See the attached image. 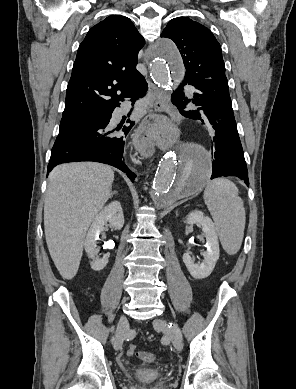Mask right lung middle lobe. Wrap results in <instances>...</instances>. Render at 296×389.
Returning a JSON list of instances; mask_svg holds the SVG:
<instances>
[{"label":"right lung middle lobe","mask_w":296,"mask_h":389,"mask_svg":"<svg viewBox=\"0 0 296 389\" xmlns=\"http://www.w3.org/2000/svg\"><path fill=\"white\" fill-rule=\"evenodd\" d=\"M98 116H80L61 119L59 135L92 125Z\"/></svg>","instance_id":"obj_1"}]
</instances>
